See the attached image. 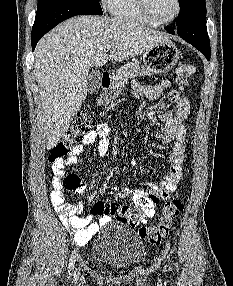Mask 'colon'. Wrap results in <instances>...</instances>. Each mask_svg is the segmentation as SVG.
Listing matches in <instances>:
<instances>
[{"mask_svg":"<svg viewBox=\"0 0 233 286\" xmlns=\"http://www.w3.org/2000/svg\"><path fill=\"white\" fill-rule=\"evenodd\" d=\"M195 67L186 62H179L176 67V81L180 89H184L189 79L194 75ZM179 93L174 91L171 94L172 99H176ZM94 124V118L88 108H81L74 117L71 125L63 135L62 139L50 150L48 154V162L55 168L57 163L68 156L77 140L86 133ZM56 173L60 177L61 184L64 189L83 193L85 184L75 174H64L63 171L56 168ZM183 210V203L178 197L167 201L162 208L158 222L147 227L142 224V213L137 206H131L129 209L130 225L139 228V234L151 244H160L168 235L174 220Z\"/></svg>","mask_w":233,"mask_h":286,"instance_id":"obj_1","label":"colon"}]
</instances>
